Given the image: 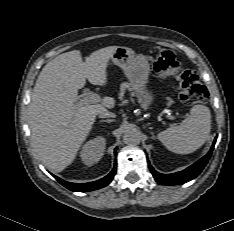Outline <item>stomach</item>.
Returning a JSON list of instances; mask_svg holds the SVG:
<instances>
[{
	"mask_svg": "<svg viewBox=\"0 0 234 231\" xmlns=\"http://www.w3.org/2000/svg\"><path fill=\"white\" fill-rule=\"evenodd\" d=\"M111 61L124 71L140 105L144 109L150 107L154 102V95L147 87L150 64L146 56L137 55L128 47H118L113 53Z\"/></svg>",
	"mask_w": 234,
	"mask_h": 231,
	"instance_id": "0dacf381",
	"label": "stomach"
}]
</instances>
